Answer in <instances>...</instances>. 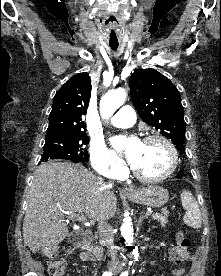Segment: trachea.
Masks as SVG:
<instances>
[{"label":"trachea","instance_id":"1","mask_svg":"<svg viewBox=\"0 0 221 276\" xmlns=\"http://www.w3.org/2000/svg\"><path fill=\"white\" fill-rule=\"evenodd\" d=\"M113 34L115 33L113 32ZM118 46H119L118 42H110V47L112 50H116Z\"/></svg>","mask_w":221,"mask_h":276}]
</instances>
